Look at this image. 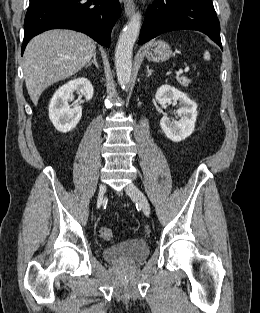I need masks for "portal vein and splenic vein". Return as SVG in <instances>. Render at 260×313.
Here are the masks:
<instances>
[{"label":"portal vein and splenic vein","mask_w":260,"mask_h":313,"mask_svg":"<svg viewBox=\"0 0 260 313\" xmlns=\"http://www.w3.org/2000/svg\"><path fill=\"white\" fill-rule=\"evenodd\" d=\"M189 70V68H186L184 71L186 72V71H188ZM182 69H180L178 72H177V75H181V74H183V72H184Z\"/></svg>","instance_id":"portal-vein-and-splenic-vein-1"}]
</instances>
